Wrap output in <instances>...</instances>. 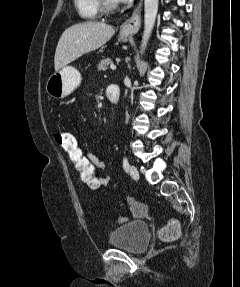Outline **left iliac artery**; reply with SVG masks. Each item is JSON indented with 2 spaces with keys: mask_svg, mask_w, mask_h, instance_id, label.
I'll return each instance as SVG.
<instances>
[{
  "mask_svg": "<svg viewBox=\"0 0 240 287\" xmlns=\"http://www.w3.org/2000/svg\"><path fill=\"white\" fill-rule=\"evenodd\" d=\"M123 168L126 172L129 170V162L126 157L123 158Z\"/></svg>",
  "mask_w": 240,
  "mask_h": 287,
  "instance_id": "left-iliac-artery-1",
  "label": "left iliac artery"
}]
</instances>
